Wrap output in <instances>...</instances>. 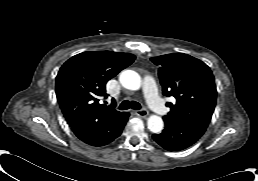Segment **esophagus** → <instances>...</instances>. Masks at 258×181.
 <instances>
[{
	"mask_svg": "<svg viewBox=\"0 0 258 181\" xmlns=\"http://www.w3.org/2000/svg\"><path fill=\"white\" fill-rule=\"evenodd\" d=\"M135 114L140 117H147L148 111L146 109L136 110Z\"/></svg>",
	"mask_w": 258,
	"mask_h": 181,
	"instance_id": "1",
	"label": "esophagus"
}]
</instances>
